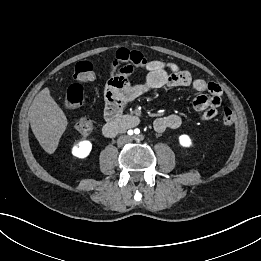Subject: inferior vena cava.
I'll use <instances>...</instances> for the list:
<instances>
[{"label":"inferior vena cava","instance_id":"inferior-vena-cava-1","mask_svg":"<svg viewBox=\"0 0 261 261\" xmlns=\"http://www.w3.org/2000/svg\"><path fill=\"white\" fill-rule=\"evenodd\" d=\"M131 141H132V139H131L129 136H127V135H122V136H120V137L118 138L117 143H118V145L122 146V145H124V144H126V143H129V142H131Z\"/></svg>","mask_w":261,"mask_h":261}]
</instances>
